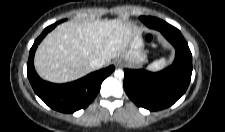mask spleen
<instances>
[{"label":"spleen","instance_id":"1","mask_svg":"<svg viewBox=\"0 0 225 132\" xmlns=\"http://www.w3.org/2000/svg\"><path fill=\"white\" fill-rule=\"evenodd\" d=\"M169 64V60L166 58H161L158 61L153 62L149 67L148 70L150 71H160L164 69Z\"/></svg>","mask_w":225,"mask_h":132}]
</instances>
